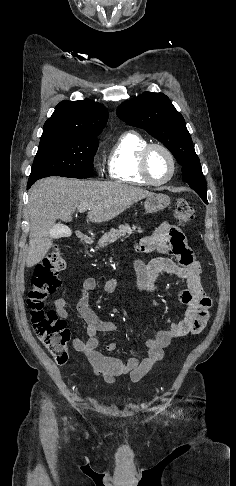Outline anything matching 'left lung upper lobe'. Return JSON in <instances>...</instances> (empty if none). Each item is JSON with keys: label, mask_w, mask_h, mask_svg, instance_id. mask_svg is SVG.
Listing matches in <instances>:
<instances>
[{"label": "left lung upper lobe", "mask_w": 236, "mask_h": 486, "mask_svg": "<svg viewBox=\"0 0 236 486\" xmlns=\"http://www.w3.org/2000/svg\"><path fill=\"white\" fill-rule=\"evenodd\" d=\"M117 116L131 126L145 129L161 141L182 166L183 181L208 203L204 175L191 136L184 118L166 95L145 92L122 103L117 109Z\"/></svg>", "instance_id": "5c2ea615"}]
</instances>
